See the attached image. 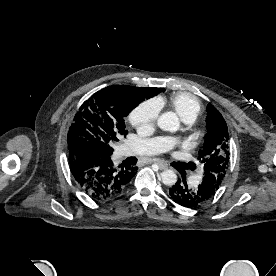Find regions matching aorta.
Here are the masks:
<instances>
[{
  "label": "aorta",
  "instance_id": "obj_1",
  "mask_svg": "<svg viewBox=\"0 0 276 276\" xmlns=\"http://www.w3.org/2000/svg\"><path fill=\"white\" fill-rule=\"evenodd\" d=\"M157 125L161 130L176 132L180 128V121L174 112L169 111L159 116ZM161 180L163 184L173 186L177 182V175L173 170H165L161 173Z\"/></svg>",
  "mask_w": 276,
  "mask_h": 276
}]
</instances>
